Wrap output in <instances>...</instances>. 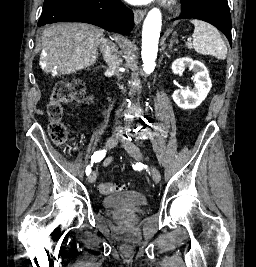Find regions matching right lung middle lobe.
Returning a JSON list of instances; mask_svg holds the SVG:
<instances>
[{
	"label": "right lung middle lobe",
	"instance_id": "obj_1",
	"mask_svg": "<svg viewBox=\"0 0 256 267\" xmlns=\"http://www.w3.org/2000/svg\"><path fill=\"white\" fill-rule=\"evenodd\" d=\"M60 1L78 2V1H81V0H45L43 7H45L47 5H50V4H53V3H56V2H60Z\"/></svg>",
	"mask_w": 256,
	"mask_h": 267
}]
</instances>
